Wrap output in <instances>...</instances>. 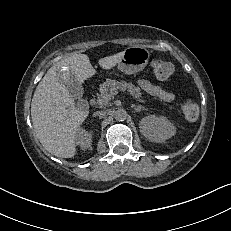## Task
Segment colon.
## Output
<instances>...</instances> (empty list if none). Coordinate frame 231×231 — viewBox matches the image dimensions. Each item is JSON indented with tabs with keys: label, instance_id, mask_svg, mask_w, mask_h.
Returning <instances> with one entry per match:
<instances>
[{
	"label": "colon",
	"instance_id": "colon-1",
	"mask_svg": "<svg viewBox=\"0 0 231 231\" xmlns=\"http://www.w3.org/2000/svg\"><path fill=\"white\" fill-rule=\"evenodd\" d=\"M151 71L154 77L159 80H166L174 73V66L172 63L163 59H153L150 63ZM180 110L184 117L190 121L198 118L199 107L191 99H186L181 103Z\"/></svg>",
	"mask_w": 231,
	"mask_h": 231
}]
</instances>
